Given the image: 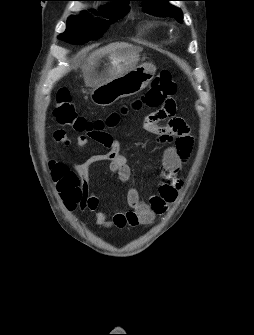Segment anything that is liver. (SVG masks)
Listing matches in <instances>:
<instances>
[{
	"mask_svg": "<svg viewBox=\"0 0 254 335\" xmlns=\"http://www.w3.org/2000/svg\"><path fill=\"white\" fill-rule=\"evenodd\" d=\"M126 46H130L127 43H111L105 47H102L100 49L95 50L94 52H92L88 57H87V65L85 67H83V72H84V76L85 79L88 75V72L90 70V68L102 57L109 55L111 53H114L117 49L122 48V47H126Z\"/></svg>",
	"mask_w": 254,
	"mask_h": 335,
	"instance_id": "6515ba94",
	"label": "liver"
}]
</instances>
